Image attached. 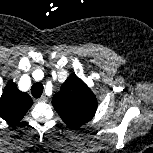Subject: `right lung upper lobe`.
<instances>
[{"instance_id": "cb5924a9", "label": "right lung upper lobe", "mask_w": 153, "mask_h": 153, "mask_svg": "<svg viewBox=\"0 0 153 153\" xmlns=\"http://www.w3.org/2000/svg\"><path fill=\"white\" fill-rule=\"evenodd\" d=\"M31 97L18 90L16 84L10 80L0 98V117L10 124L20 122L32 106Z\"/></svg>"}]
</instances>
